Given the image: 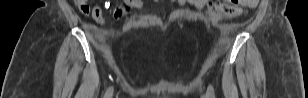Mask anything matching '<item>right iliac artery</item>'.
<instances>
[{
  "label": "right iliac artery",
  "instance_id": "right-iliac-artery-1",
  "mask_svg": "<svg viewBox=\"0 0 308 98\" xmlns=\"http://www.w3.org/2000/svg\"><path fill=\"white\" fill-rule=\"evenodd\" d=\"M112 93H113V87H109L104 95V98H110L112 96Z\"/></svg>",
  "mask_w": 308,
  "mask_h": 98
}]
</instances>
